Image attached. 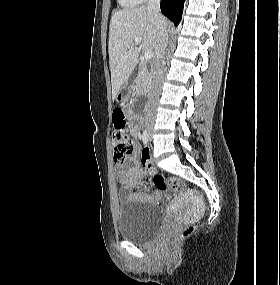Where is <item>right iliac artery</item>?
I'll return each instance as SVG.
<instances>
[{"instance_id": "1", "label": "right iliac artery", "mask_w": 280, "mask_h": 285, "mask_svg": "<svg viewBox=\"0 0 280 285\" xmlns=\"http://www.w3.org/2000/svg\"><path fill=\"white\" fill-rule=\"evenodd\" d=\"M141 139H142V141H143V143H144L145 145L148 144L149 136H148L147 130H144V131H143V133H142V135H141Z\"/></svg>"}]
</instances>
